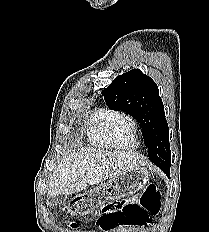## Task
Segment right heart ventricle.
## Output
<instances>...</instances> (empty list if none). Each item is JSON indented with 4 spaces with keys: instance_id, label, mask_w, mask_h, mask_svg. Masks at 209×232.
<instances>
[{
    "instance_id": "right-heart-ventricle-1",
    "label": "right heart ventricle",
    "mask_w": 209,
    "mask_h": 232,
    "mask_svg": "<svg viewBox=\"0 0 209 232\" xmlns=\"http://www.w3.org/2000/svg\"><path fill=\"white\" fill-rule=\"evenodd\" d=\"M120 114L119 111L101 107L97 109L90 117L87 134L90 143L100 149H116L117 146L111 141L109 136V126L116 116ZM138 147L136 138L133 139L131 149Z\"/></svg>"
}]
</instances>
